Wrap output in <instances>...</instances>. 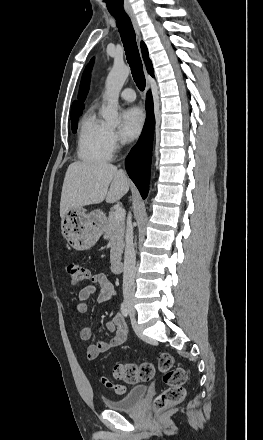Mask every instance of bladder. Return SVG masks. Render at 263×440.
<instances>
[{
	"label": "bladder",
	"mask_w": 263,
	"mask_h": 440,
	"mask_svg": "<svg viewBox=\"0 0 263 440\" xmlns=\"http://www.w3.org/2000/svg\"><path fill=\"white\" fill-rule=\"evenodd\" d=\"M148 388L145 385L131 388L125 396L117 399H105L104 404L110 410L133 411L147 394Z\"/></svg>",
	"instance_id": "bladder-1"
}]
</instances>
